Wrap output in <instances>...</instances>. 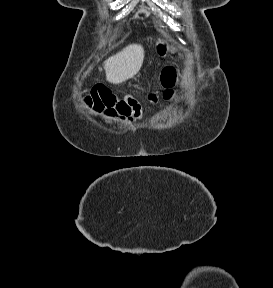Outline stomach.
Segmentation results:
<instances>
[{
    "label": "stomach",
    "instance_id": "stomach-1",
    "mask_svg": "<svg viewBox=\"0 0 273 288\" xmlns=\"http://www.w3.org/2000/svg\"><path fill=\"white\" fill-rule=\"evenodd\" d=\"M170 51V45L166 40L158 39L155 45V52L160 57H165Z\"/></svg>",
    "mask_w": 273,
    "mask_h": 288
}]
</instances>
